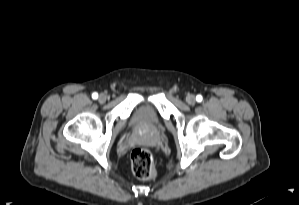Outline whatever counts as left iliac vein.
Here are the masks:
<instances>
[{"label":"left iliac vein","instance_id":"obj_1","mask_svg":"<svg viewBox=\"0 0 299 205\" xmlns=\"http://www.w3.org/2000/svg\"><path fill=\"white\" fill-rule=\"evenodd\" d=\"M186 102L189 104V105H194L196 103V98L193 94H189L187 95L186 97Z\"/></svg>","mask_w":299,"mask_h":205}]
</instances>
